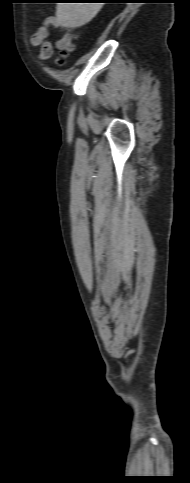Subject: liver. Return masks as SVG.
Here are the masks:
<instances>
[{
	"label": "liver",
	"mask_w": 190,
	"mask_h": 483,
	"mask_svg": "<svg viewBox=\"0 0 190 483\" xmlns=\"http://www.w3.org/2000/svg\"><path fill=\"white\" fill-rule=\"evenodd\" d=\"M102 5L103 3H58L57 22L64 27H81L97 15Z\"/></svg>",
	"instance_id": "1"
}]
</instances>
